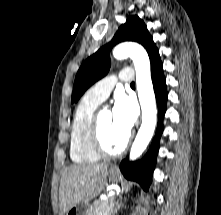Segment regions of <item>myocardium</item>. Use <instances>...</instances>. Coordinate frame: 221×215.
I'll use <instances>...</instances> for the list:
<instances>
[{"instance_id": "1", "label": "myocardium", "mask_w": 221, "mask_h": 215, "mask_svg": "<svg viewBox=\"0 0 221 215\" xmlns=\"http://www.w3.org/2000/svg\"><path fill=\"white\" fill-rule=\"evenodd\" d=\"M103 110L97 111L93 117L91 129H90V142L93 149L98 153L100 156L104 157H117L122 155L128 148L130 144V138L127 137L123 145L116 149L110 150L106 147L103 142L102 134H101V113Z\"/></svg>"}]
</instances>
